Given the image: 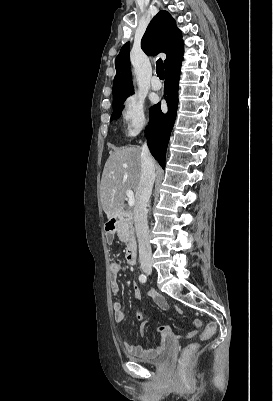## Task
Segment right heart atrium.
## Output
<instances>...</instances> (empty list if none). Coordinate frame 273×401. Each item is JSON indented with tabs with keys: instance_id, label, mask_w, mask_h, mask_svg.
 Here are the masks:
<instances>
[{
	"instance_id": "obj_1",
	"label": "right heart atrium",
	"mask_w": 273,
	"mask_h": 401,
	"mask_svg": "<svg viewBox=\"0 0 273 401\" xmlns=\"http://www.w3.org/2000/svg\"><path fill=\"white\" fill-rule=\"evenodd\" d=\"M122 118L125 134L128 137L137 136L147 124L143 100L134 95L129 96L123 105Z\"/></svg>"
}]
</instances>
